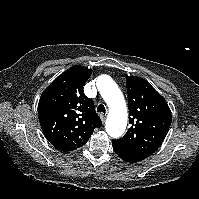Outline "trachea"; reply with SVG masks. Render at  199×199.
I'll use <instances>...</instances> for the list:
<instances>
[{
    "mask_svg": "<svg viewBox=\"0 0 199 199\" xmlns=\"http://www.w3.org/2000/svg\"><path fill=\"white\" fill-rule=\"evenodd\" d=\"M97 112H102L105 114V112H106L105 106L102 104L98 105Z\"/></svg>",
    "mask_w": 199,
    "mask_h": 199,
    "instance_id": "3493384b",
    "label": "trachea"
}]
</instances>
